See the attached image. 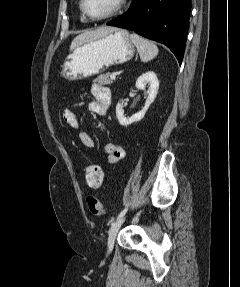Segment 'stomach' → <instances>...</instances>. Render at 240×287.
I'll use <instances>...</instances> for the list:
<instances>
[{
  "label": "stomach",
  "mask_w": 240,
  "mask_h": 287,
  "mask_svg": "<svg viewBox=\"0 0 240 287\" xmlns=\"http://www.w3.org/2000/svg\"><path fill=\"white\" fill-rule=\"evenodd\" d=\"M134 53L128 31L116 28L74 48L62 65L61 76L70 81L84 79L129 61Z\"/></svg>",
  "instance_id": "obj_1"
}]
</instances>
